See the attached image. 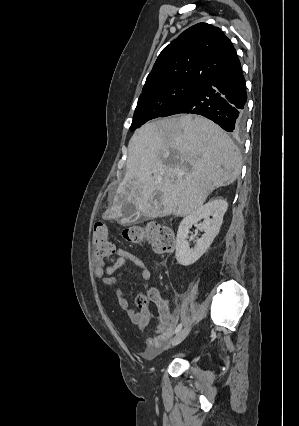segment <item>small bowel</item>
<instances>
[{"mask_svg": "<svg viewBox=\"0 0 299 426\" xmlns=\"http://www.w3.org/2000/svg\"><path fill=\"white\" fill-rule=\"evenodd\" d=\"M113 254H115L117 258L109 266L104 259L97 255H95L93 259L94 274L97 278L101 279L104 285L113 286L117 283L121 274H116V271L126 262L134 264L145 281L151 279V271L148 265L137 255L116 246H114ZM115 295L120 308L125 312L127 318L131 323L136 325L141 332L147 328L151 319V312L149 309L150 303L157 306L160 324L155 330V335L147 338L145 348L141 353L146 359L154 358L170 338L173 328L178 321V312L174 315L169 313L168 305L161 297L160 291L153 286L148 287L149 301L144 304L139 311H136L129 305L126 293L122 288H117Z\"/></svg>", "mask_w": 299, "mask_h": 426, "instance_id": "obj_1", "label": "small bowel"}]
</instances>
